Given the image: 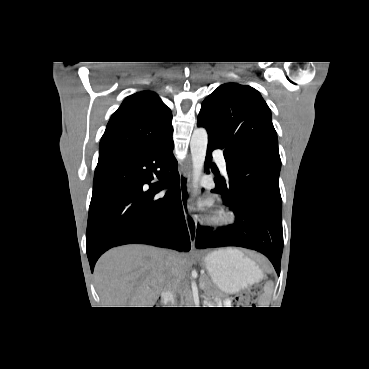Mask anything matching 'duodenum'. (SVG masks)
I'll use <instances>...</instances> for the list:
<instances>
[{"label": "duodenum", "mask_w": 369, "mask_h": 369, "mask_svg": "<svg viewBox=\"0 0 369 369\" xmlns=\"http://www.w3.org/2000/svg\"><path fill=\"white\" fill-rule=\"evenodd\" d=\"M173 298V294L170 290H166L163 292L161 299L164 301V303H170Z\"/></svg>", "instance_id": "duodenum-1"}]
</instances>
